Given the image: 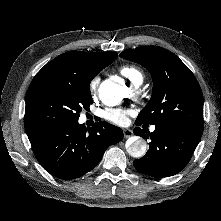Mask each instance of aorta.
<instances>
[{"mask_svg":"<svg viewBox=\"0 0 221 221\" xmlns=\"http://www.w3.org/2000/svg\"><path fill=\"white\" fill-rule=\"evenodd\" d=\"M126 86L121 83L105 80L100 85V96L103 102L107 105L119 103L124 97ZM127 152L134 158H141L147 151L146 141L138 136L131 137L126 146Z\"/></svg>","mask_w":221,"mask_h":221,"instance_id":"obj_1","label":"aorta"}]
</instances>
